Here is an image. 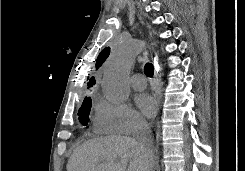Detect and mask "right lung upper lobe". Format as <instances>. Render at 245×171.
Wrapping results in <instances>:
<instances>
[{
    "mask_svg": "<svg viewBox=\"0 0 245 171\" xmlns=\"http://www.w3.org/2000/svg\"><path fill=\"white\" fill-rule=\"evenodd\" d=\"M94 84H95V79H94V77H91L90 81L88 82V86L92 87Z\"/></svg>",
    "mask_w": 245,
    "mask_h": 171,
    "instance_id": "right-lung-upper-lobe-1",
    "label": "right lung upper lobe"
}]
</instances>
